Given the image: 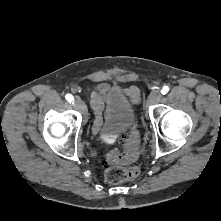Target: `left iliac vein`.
<instances>
[{
	"instance_id": "obj_1",
	"label": "left iliac vein",
	"mask_w": 221,
	"mask_h": 221,
	"mask_svg": "<svg viewBox=\"0 0 221 221\" xmlns=\"http://www.w3.org/2000/svg\"><path fill=\"white\" fill-rule=\"evenodd\" d=\"M162 98L161 92L159 90H154L150 93L147 99V105H154L160 101Z\"/></svg>"
}]
</instances>
